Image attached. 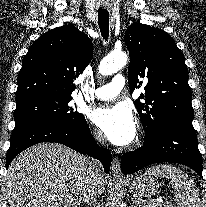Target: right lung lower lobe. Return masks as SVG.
<instances>
[{
    "label": "right lung lower lobe",
    "mask_w": 206,
    "mask_h": 207,
    "mask_svg": "<svg viewBox=\"0 0 206 207\" xmlns=\"http://www.w3.org/2000/svg\"><path fill=\"white\" fill-rule=\"evenodd\" d=\"M40 142L64 144L75 151L99 159L106 173L110 169L111 153L97 145L86 121L79 127L44 124L12 135L6 157V168L20 152Z\"/></svg>",
    "instance_id": "obj_1"
}]
</instances>
